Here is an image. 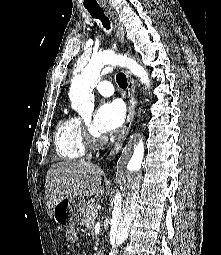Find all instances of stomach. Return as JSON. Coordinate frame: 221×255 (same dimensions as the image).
Wrapping results in <instances>:
<instances>
[{
  "label": "stomach",
  "instance_id": "stomach-1",
  "mask_svg": "<svg viewBox=\"0 0 221 255\" xmlns=\"http://www.w3.org/2000/svg\"><path fill=\"white\" fill-rule=\"evenodd\" d=\"M85 200L80 196H68L61 200L53 209V218L62 227L77 224L85 209Z\"/></svg>",
  "mask_w": 221,
  "mask_h": 255
}]
</instances>
